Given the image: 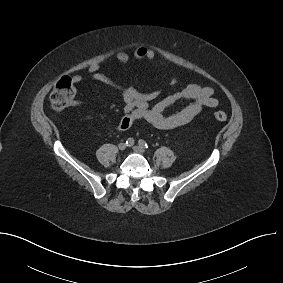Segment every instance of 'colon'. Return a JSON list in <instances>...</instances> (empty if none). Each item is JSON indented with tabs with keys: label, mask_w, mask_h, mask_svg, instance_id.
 <instances>
[{
	"label": "colon",
	"mask_w": 283,
	"mask_h": 283,
	"mask_svg": "<svg viewBox=\"0 0 283 283\" xmlns=\"http://www.w3.org/2000/svg\"><path fill=\"white\" fill-rule=\"evenodd\" d=\"M75 93L76 90L71 78L63 77L60 79L50 93V102L53 109L60 112L67 108L74 99ZM214 117L220 122L227 120V114L221 110L215 111Z\"/></svg>",
	"instance_id": "5ec220e1"
}]
</instances>
